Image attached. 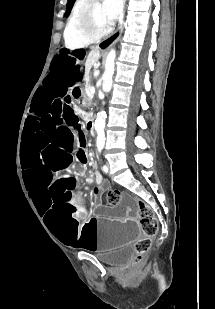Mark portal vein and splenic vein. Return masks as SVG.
<instances>
[{"label":"portal vein and splenic vein","mask_w":215,"mask_h":309,"mask_svg":"<svg viewBox=\"0 0 215 309\" xmlns=\"http://www.w3.org/2000/svg\"><path fill=\"white\" fill-rule=\"evenodd\" d=\"M87 92H88V94H94V92H95L94 86H91V88H87Z\"/></svg>","instance_id":"18ae733b"}]
</instances>
